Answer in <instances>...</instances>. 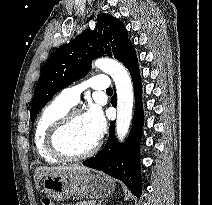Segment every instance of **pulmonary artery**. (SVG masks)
I'll use <instances>...</instances> for the list:
<instances>
[{
	"mask_svg": "<svg viewBox=\"0 0 212 205\" xmlns=\"http://www.w3.org/2000/svg\"><path fill=\"white\" fill-rule=\"evenodd\" d=\"M110 86L109 78L104 74L91 77L86 82L63 89L58 95V99L69 107L74 106L79 101L81 93L87 89L107 90Z\"/></svg>",
	"mask_w": 212,
	"mask_h": 205,
	"instance_id": "1",
	"label": "pulmonary artery"
}]
</instances>
